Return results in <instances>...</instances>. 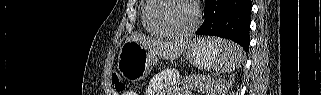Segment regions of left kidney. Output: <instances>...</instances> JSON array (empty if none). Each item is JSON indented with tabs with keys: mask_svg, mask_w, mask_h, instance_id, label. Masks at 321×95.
<instances>
[{
	"mask_svg": "<svg viewBox=\"0 0 321 95\" xmlns=\"http://www.w3.org/2000/svg\"><path fill=\"white\" fill-rule=\"evenodd\" d=\"M226 94V88H218L217 90H216V92L214 93V95H225Z\"/></svg>",
	"mask_w": 321,
	"mask_h": 95,
	"instance_id": "obj_1",
	"label": "left kidney"
}]
</instances>
